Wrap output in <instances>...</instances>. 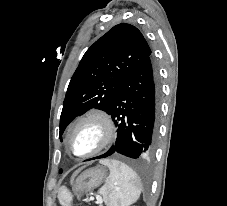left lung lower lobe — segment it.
Listing matches in <instances>:
<instances>
[{"instance_id":"1","label":"left lung lower lobe","mask_w":227,"mask_h":206,"mask_svg":"<svg viewBox=\"0 0 227 206\" xmlns=\"http://www.w3.org/2000/svg\"><path fill=\"white\" fill-rule=\"evenodd\" d=\"M160 85L151 57L124 81L109 114L117 126V139L105 154L120 153L131 158L149 155L157 137Z\"/></svg>"}]
</instances>
